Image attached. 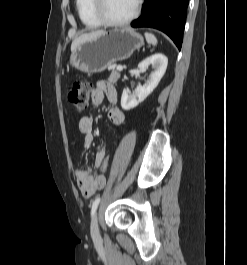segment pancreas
I'll return each mask as SVG.
<instances>
[{"instance_id": "cf45deb5", "label": "pancreas", "mask_w": 247, "mask_h": 265, "mask_svg": "<svg viewBox=\"0 0 247 265\" xmlns=\"http://www.w3.org/2000/svg\"><path fill=\"white\" fill-rule=\"evenodd\" d=\"M120 78V72L117 70V68H113L112 72L109 77V81L112 83H116V81Z\"/></svg>"}]
</instances>
